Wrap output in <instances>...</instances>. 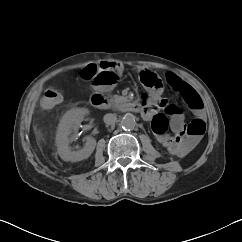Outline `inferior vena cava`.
I'll return each instance as SVG.
<instances>
[{"instance_id":"1","label":"inferior vena cava","mask_w":242,"mask_h":242,"mask_svg":"<svg viewBox=\"0 0 242 242\" xmlns=\"http://www.w3.org/2000/svg\"><path fill=\"white\" fill-rule=\"evenodd\" d=\"M103 120H104L105 124L112 125L116 122L117 116H116V114L108 113V114L104 115Z\"/></svg>"}]
</instances>
